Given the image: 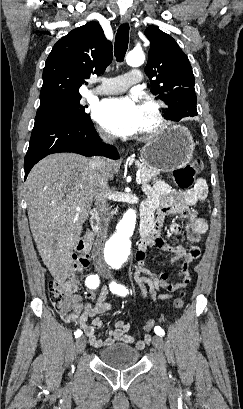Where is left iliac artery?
I'll return each instance as SVG.
<instances>
[{
	"instance_id": "left-iliac-artery-1",
	"label": "left iliac artery",
	"mask_w": 243,
	"mask_h": 409,
	"mask_svg": "<svg viewBox=\"0 0 243 409\" xmlns=\"http://www.w3.org/2000/svg\"><path fill=\"white\" fill-rule=\"evenodd\" d=\"M110 290L113 293L119 294L121 296H126V294L128 293V289H126L125 286L118 284L115 281L110 284ZM154 331L159 336L165 335L164 330L160 326L155 327Z\"/></svg>"
}]
</instances>
